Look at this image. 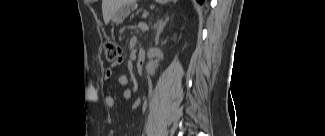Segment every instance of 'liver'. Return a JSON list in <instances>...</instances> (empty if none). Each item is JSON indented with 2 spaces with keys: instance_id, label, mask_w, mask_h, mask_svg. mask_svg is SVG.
<instances>
[{
  "instance_id": "obj_1",
  "label": "liver",
  "mask_w": 325,
  "mask_h": 136,
  "mask_svg": "<svg viewBox=\"0 0 325 136\" xmlns=\"http://www.w3.org/2000/svg\"><path fill=\"white\" fill-rule=\"evenodd\" d=\"M129 1L126 0H102V13L105 24L107 25L115 11ZM133 2V1H130Z\"/></svg>"
}]
</instances>
